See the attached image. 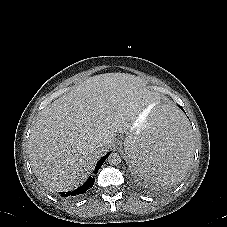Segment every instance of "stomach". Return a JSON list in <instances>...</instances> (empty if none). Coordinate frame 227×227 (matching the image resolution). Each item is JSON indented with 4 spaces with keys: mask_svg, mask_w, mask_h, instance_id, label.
<instances>
[{
    "mask_svg": "<svg viewBox=\"0 0 227 227\" xmlns=\"http://www.w3.org/2000/svg\"><path fill=\"white\" fill-rule=\"evenodd\" d=\"M155 110L156 108L152 105L145 106L137 116L136 120L133 122L132 126L129 128V130H127L126 134L132 130H137L140 128L144 123H146L147 119Z\"/></svg>",
    "mask_w": 227,
    "mask_h": 227,
    "instance_id": "0dacf381",
    "label": "stomach"
}]
</instances>
